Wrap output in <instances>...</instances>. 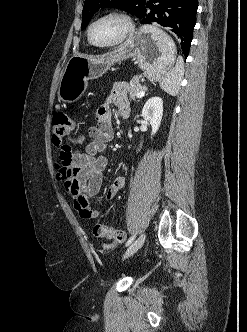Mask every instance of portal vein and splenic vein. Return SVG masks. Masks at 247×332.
<instances>
[{"instance_id": "18ae733b", "label": "portal vein and splenic vein", "mask_w": 247, "mask_h": 332, "mask_svg": "<svg viewBox=\"0 0 247 332\" xmlns=\"http://www.w3.org/2000/svg\"><path fill=\"white\" fill-rule=\"evenodd\" d=\"M145 95V91H141V92H139L137 95H136V97L137 98H141V97H143Z\"/></svg>"}]
</instances>
